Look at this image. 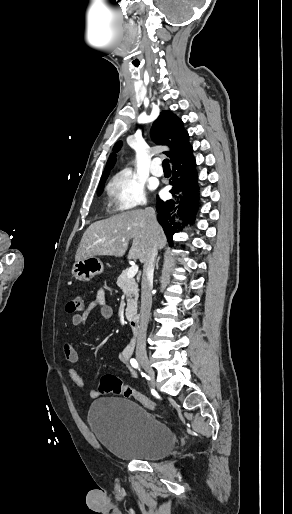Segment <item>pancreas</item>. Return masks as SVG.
I'll list each match as a JSON object with an SVG mask.
<instances>
[{"label":"pancreas","mask_w":292,"mask_h":514,"mask_svg":"<svg viewBox=\"0 0 292 514\" xmlns=\"http://www.w3.org/2000/svg\"><path fill=\"white\" fill-rule=\"evenodd\" d=\"M127 272L128 270H123L116 284L123 290L127 298L126 316L133 318L137 312L138 284H136L134 278H128Z\"/></svg>","instance_id":"1"}]
</instances>
